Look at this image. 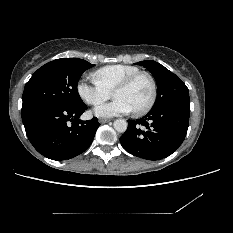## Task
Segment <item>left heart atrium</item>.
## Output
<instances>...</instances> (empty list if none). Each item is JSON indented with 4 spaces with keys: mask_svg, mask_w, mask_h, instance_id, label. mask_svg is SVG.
<instances>
[{
    "mask_svg": "<svg viewBox=\"0 0 233 233\" xmlns=\"http://www.w3.org/2000/svg\"><path fill=\"white\" fill-rule=\"evenodd\" d=\"M133 111L128 102L121 98H116L108 104L101 105L95 109V114L99 117H113L127 114Z\"/></svg>",
    "mask_w": 233,
    "mask_h": 233,
    "instance_id": "1",
    "label": "left heart atrium"
}]
</instances>
